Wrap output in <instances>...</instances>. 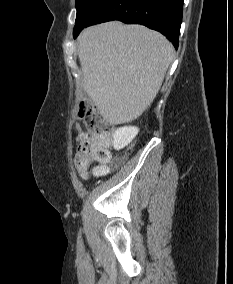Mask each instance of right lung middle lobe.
Instances as JSON below:
<instances>
[{
  "mask_svg": "<svg viewBox=\"0 0 233 284\" xmlns=\"http://www.w3.org/2000/svg\"><path fill=\"white\" fill-rule=\"evenodd\" d=\"M109 0H76V22L74 32L84 27L93 15Z\"/></svg>",
  "mask_w": 233,
  "mask_h": 284,
  "instance_id": "right-lung-middle-lobe-1",
  "label": "right lung middle lobe"
}]
</instances>
